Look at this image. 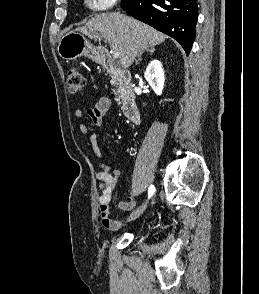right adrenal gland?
I'll return each mask as SVG.
<instances>
[{"mask_svg":"<svg viewBox=\"0 0 259 294\" xmlns=\"http://www.w3.org/2000/svg\"><path fill=\"white\" fill-rule=\"evenodd\" d=\"M154 51H155V48H154V47H150L149 49H146V50H144V51H141V52L139 53V55H138V59L136 60V64H138V61L141 60V56H142V54H143L144 52H149L150 54H153Z\"/></svg>","mask_w":259,"mask_h":294,"instance_id":"obj_1","label":"right adrenal gland"}]
</instances>
